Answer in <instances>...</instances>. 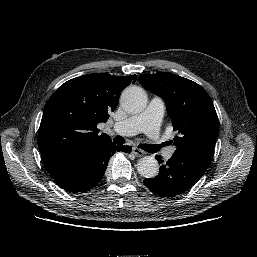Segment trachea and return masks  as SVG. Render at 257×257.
<instances>
[{"label": "trachea", "mask_w": 257, "mask_h": 257, "mask_svg": "<svg viewBox=\"0 0 257 257\" xmlns=\"http://www.w3.org/2000/svg\"><path fill=\"white\" fill-rule=\"evenodd\" d=\"M113 142L118 145H122L125 143V140L121 136H115ZM146 149H150L151 152H156L158 150L157 146L155 145H144Z\"/></svg>", "instance_id": "trachea-1"}]
</instances>
